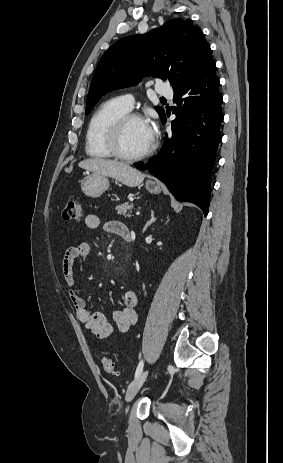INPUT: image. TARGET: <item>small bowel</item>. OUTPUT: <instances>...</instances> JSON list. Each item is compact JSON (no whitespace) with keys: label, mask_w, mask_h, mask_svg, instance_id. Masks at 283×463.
<instances>
[{"label":"small bowel","mask_w":283,"mask_h":463,"mask_svg":"<svg viewBox=\"0 0 283 463\" xmlns=\"http://www.w3.org/2000/svg\"><path fill=\"white\" fill-rule=\"evenodd\" d=\"M99 226V218L96 215H88L85 218V227L94 230ZM106 232L126 239L130 235L129 229L120 221H109L105 224ZM91 247L87 243L78 246H70L63 257L62 273L64 283L73 304L77 319L83 326L98 339L109 338L115 330L125 333L136 323L135 307L137 295L133 290H126L123 294V308L117 309L112 314V320H108L103 314L91 313L86 301L76 291L77 259H88L91 255Z\"/></svg>","instance_id":"small-bowel-1"}]
</instances>
